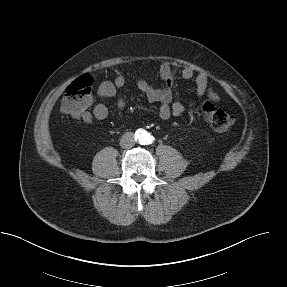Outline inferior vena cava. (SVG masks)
Wrapping results in <instances>:
<instances>
[{
	"instance_id": "1",
	"label": "inferior vena cava",
	"mask_w": 287,
	"mask_h": 287,
	"mask_svg": "<svg viewBox=\"0 0 287 287\" xmlns=\"http://www.w3.org/2000/svg\"><path fill=\"white\" fill-rule=\"evenodd\" d=\"M134 144H135L134 137L131 132L125 133L120 140V146L122 148H130L134 146Z\"/></svg>"
}]
</instances>
